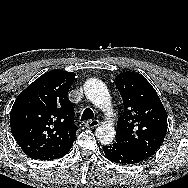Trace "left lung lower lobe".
I'll return each mask as SVG.
<instances>
[{
	"mask_svg": "<svg viewBox=\"0 0 188 188\" xmlns=\"http://www.w3.org/2000/svg\"><path fill=\"white\" fill-rule=\"evenodd\" d=\"M106 157L120 164H135L147 160L149 157L138 151L114 143L110 146H103Z\"/></svg>",
	"mask_w": 188,
	"mask_h": 188,
	"instance_id": "left-lung-lower-lobe-1",
	"label": "left lung lower lobe"
}]
</instances>
